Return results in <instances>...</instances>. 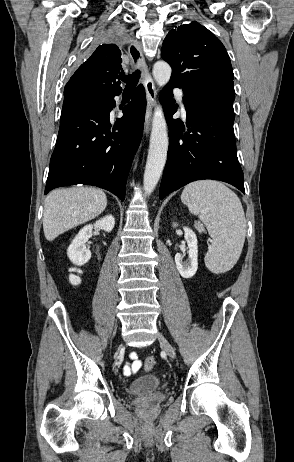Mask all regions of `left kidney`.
Masks as SVG:
<instances>
[{
  "mask_svg": "<svg viewBox=\"0 0 294 462\" xmlns=\"http://www.w3.org/2000/svg\"><path fill=\"white\" fill-rule=\"evenodd\" d=\"M173 226H177L176 223ZM184 237L188 245V259L186 261H182L183 256L180 253L175 255V263L176 267L183 278H191L193 277L198 269V241L196 234L187 227H184Z\"/></svg>",
  "mask_w": 294,
  "mask_h": 462,
  "instance_id": "obj_1",
  "label": "left kidney"
}]
</instances>
